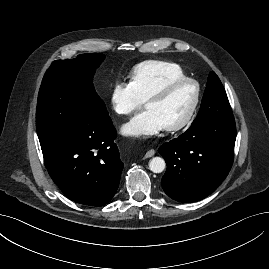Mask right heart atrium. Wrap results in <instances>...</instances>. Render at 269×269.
<instances>
[{"label": "right heart atrium", "mask_w": 269, "mask_h": 269, "mask_svg": "<svg viewBox=\"0 0 269 269\" xmlns=\"http://www.w3.org/2000/svg\"><path fill=\"white\" fill-rule=\"evenodd\" d=\"M109 100L112 110L118 116L131 115L143 102L131 82L121 80L114 83Z\"/></svg>", "instance_id": "d8ad5b80"}]
</instances>
